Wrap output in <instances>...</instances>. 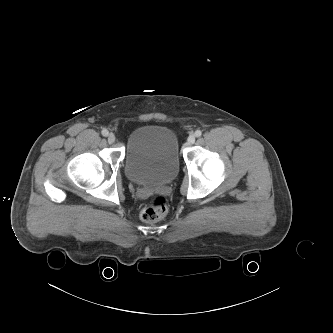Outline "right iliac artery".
I'll list each match as a JSON object with an SVG mask.
<instances>
[{
	"label": "right iliac artery",
	"mask_w": 333,
	"mask_h": 333,
	"mask_svg": "<svg viewBox=\"0 0 333 333\" xmlns=\"http://www.w3.org/2000/svg\"><path fill=\"white\" fill-rule=\"evenodd\" d=\"M108 134H109L108 130H106V129L102 130V135L103 136H108Z\"/></svg>",
	"instance_id": "right-iliac-artery-1"
}]
</instances>
